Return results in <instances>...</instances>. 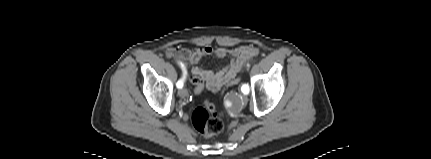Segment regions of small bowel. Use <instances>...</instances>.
<instances>
[{"instance_id": "small-bowel-1", "label": "small bowel", "mask_w": 431, "mask_h": 159, "mask_svg": "<svg viewBox=\"0 0 431 159\" xmlns=\"http://www.w3.org/2000/svg\"><path fill=\"white\" fill-rule=\"evenodd\" d=\"M214 54L218 58L230 57V63L217 71L208 70L198 66L200 60ZM258 54V49L252 45H243L235 48L220 47L213 49L210 46L195 49L169 48L166 56L177 61L183 71L191 66V77H202L204 88L219 90L228 82L237 78L238 73L245 64Z\"/></svg>"}]
</instances>
